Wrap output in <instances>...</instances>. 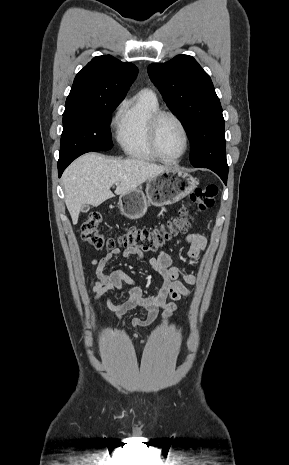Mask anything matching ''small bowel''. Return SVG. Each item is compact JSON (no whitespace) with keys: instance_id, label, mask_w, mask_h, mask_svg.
Returning a JSON list of instances; mask_svg holds the SVG:
<instances>
[{"instance_id":"c3829d8e","label":"small bowel","mask_w":289,"mask_h":465,"mask_svg":"<svg viewBox=\"0 0 289 465\" xmlns=\"http://www.w3.org/2000/svg\"><path fill=\"white\" fill-rule=\"evenodd\" d=\"M183 242L189 247V257L195 261L200 258L207 246L206 238L199 232L188 233ZM119 253L120 250L115 248L103 257L93 260L96 279L91 283V290L95 300H99L106 293L123 290L124 285L127 284L129 285L128 296L123 302L114 304L110 298L107 301L108 307L115 313L116 317L121 320L128 311L144 308L147 310V315L144 318L136 317L132 321L135 327H144L152 324L156 320L159 310H163L162 323L167 324L177 309L176 303L167 302V299L179 301L188 296V285H193L196 282V276L184 267L173 266L170 255L162 250L157 256L146 259L148 265L160 275L162 283L155 293L145 295L143 288L122 269L114 268L109 273L104 271L105 267ZM123 256L125 258L132 256L144 258L142 252L133 248H126L123 251Z\"/></svg>"}]
</instances>
